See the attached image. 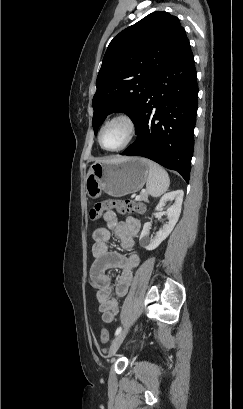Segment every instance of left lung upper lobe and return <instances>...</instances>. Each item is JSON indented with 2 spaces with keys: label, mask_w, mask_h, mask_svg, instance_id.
<instances>
[{
  "label": "left lung upper lobe",
  "mask_w": 243,
  "mask_h": 409,
  "mask_svg": "<svg viewBox=\"0 0 243 409\" xmlns=\"http://www.w3.org/2000/svg\"><path fill=\"white\" fill-rule=\"evenodd\" d=\"M188 39L176 16L155 11L110 42L97 76L93 129L108 114L124 112L134 122L153 81Z\"/></svg>",
  "instance_id": "obj_1"
}]
</instances>
